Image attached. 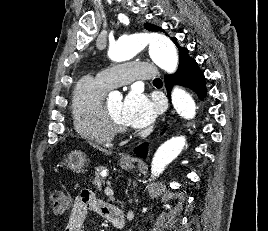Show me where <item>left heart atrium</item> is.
<instances>
[{
	"label": "left heart atrium",
	"instance_id": "39dd6f15",
	"mask_svg": "<svg viewBox=\"0 0 268 231\" xmlns=\"http://www.w3.org/2000/svg\"><path fill=\"white\" fill-rule=\"evenodd\" d=\"M123 116L128 126L143 128L154 121L157 109L142 90L134 87L123 102Z\"/></svg>",
	"mask_w": 268,
	"mask_h": 231
}]
</instances>
